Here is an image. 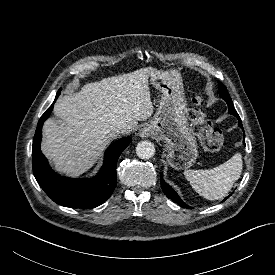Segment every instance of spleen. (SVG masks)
<instances>
[{
	"mask_svg": "<svg viewBox=\"0 0 275 275\" xmlns=\"http://www.w3.org/2000/svg\"><path fill=\"white\" fill-rule=\"evenodd\" d=\"M243 168L242 155L236 153L227 162L209 170H185L184 175L193 189L208 200L226 196L239 179Z\"/></svg>",
	"mask_w": 275,
	"mask_h": 275,
	"instance_id": "obj_1",
	"label": "spleen"
}]
</instances>
